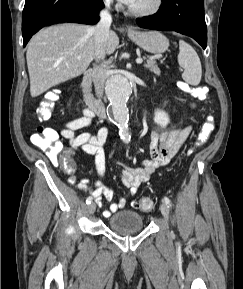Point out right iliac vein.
Segmentation results:
<instances>
[{
    "label": "right iliac vein",
    "instance_id": "63e3f726",
    "mask_svg": "<svg viewBox=\"0 0 243 289\" xmlns=\"http://www.w3.org/2000/svg\"><path fill=\"white\" fill-rule=\"evenodd\" d=\"M95 209H96V205H95V203H90L89 205H88V212L90 213V214H93L94 212H95Z\"/></svg>",
    "mask_w": 243,
    "mask_h": 289
}]
</instances>
